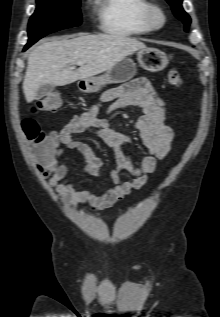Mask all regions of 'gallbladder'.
Masks as SVG:
<instances>
[{
	"label": "gallbladder",
	"mask_w": 220,
	"mask_h": 317,
	"mask_svg": "<svg viewBox=\"0 0 220 317\" xmlns=\"http://www.w3.org/2000/svg\"><path fill=\"white\" fill-rule=\"evenodd\" d=\"M54 89H55L54 85H51V84L42 85L36 92V99H41L51 94L54 91Z\"/></svg>",
	"instance_id": "bac80fb5"
}]
</instances>
